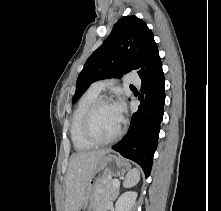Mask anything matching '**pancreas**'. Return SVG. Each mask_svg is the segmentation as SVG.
I'll return each instance as SVG.
<instances>
[{
    "instance_id": "obj_1",
    "label": "pancreas",
    "mask_w": 221,
    "mask_h": 211,
    "mask_svg": "<svg viewBox=\"0 0 221 211\" xmlns=\"http://www.w3.org/2000/svg\"><path fill=\"white\" fill-rule=\"evenodd\" d=\"M118 188L113 185V180L106 179L94 190L93 205L95 211H106L108 205L117 197Z\"/></svg>"
}]
</instances>
